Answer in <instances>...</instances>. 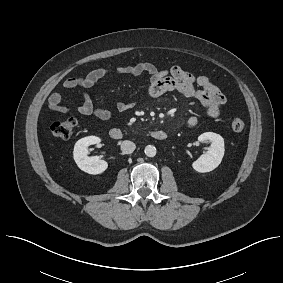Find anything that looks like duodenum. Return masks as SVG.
I'll return each instance as SVG.
<instances>
[{
    "label": "duodenum",
    "mask_w": 283,
    "mask_h": 283,
    "mask_svg": "<svg viewBox=\"0 0 283 283\" xmlns=\"http://www.w3.org/2000/svg\"><path fill=\"white\" fill-rule=\"evenodd\" d=\"M109 136L113 140H120V139L123 138L124 133L118 128H113V129L110 130ZM151 136L155 140L162 141V140H165L168 135L165 131L157 130V131L152 132Z\"/></svg>",
    "instance_id": "duodenum-1"
}]
</instances>
